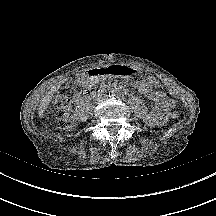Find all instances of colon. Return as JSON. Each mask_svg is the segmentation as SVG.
Instances as JSON below:
<instances>
[{"label":"colon","mask_w":216,"mask_h":216,"mask_svg":"<svg viewBox=\"0 0 216 216\" xmlns=\"http://www.w3.org/2000/svg\"><path fill=\"white\" fill-rule=\"evenodd\" d=\"M55 121L58 128L70 130L75 126V120L71 114V100L65 95H58L54 102ZM173 119L181 116L180 110H173L169 113Z\"/></svg>","instance_id":"1"}]
</instances>
